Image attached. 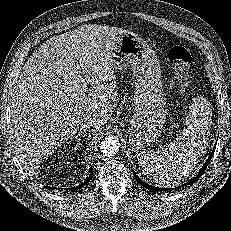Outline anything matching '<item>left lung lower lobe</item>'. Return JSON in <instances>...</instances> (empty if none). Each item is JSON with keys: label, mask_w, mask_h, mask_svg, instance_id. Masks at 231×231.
<instances>
[{"label": "left lung lower lobe", "mask_w": 231, "mask_h": 231, "mask_svg": "<svg viewBox=\"0 0 231 231\" xmlns=\"http://www.w3.org/2000/svg\"><path fill=\"white\" fill-rule=\"evenodd\" d=\"M215 148L216 146L214 147V149L212 150L209 158L207 159L206 163L204 164V166L202 167V169L199 171V173L196 175V177H194L192 180H190L189 182L181 185L180 187H183V186H187V185H190V184H193L195 183L205 172L210 160L212 159L213 157V154L215 152ZM134 177L135 179L137 180L138 183H140L143 187H145L146 189L148 190H151V191H167V190H171V189H163V188H157V187H153L152 185H149L147 183H145L144 181H142L134 172Z\"/></svg>", "instance_id": "1"}]
</instances>
